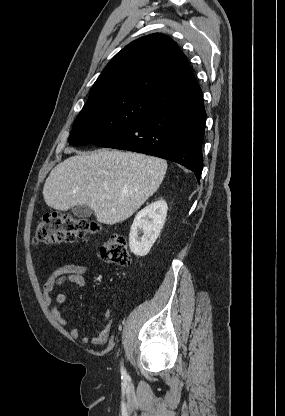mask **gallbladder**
<instances>
[{
  "instance_id": "1",
  "label": "gallbladder",
  "mask_w": 285,
  "mask_h": 416,
  "mask_svg": "<svg viewBox=\"0 0 285 416\" xmlns=\"http://www.w3.org/2000/svg\"><path fill=\"white\" fill-rule=\"evenodd\" d=\"M72 214L77 216V218H90L93 214V210L89 206H77V208H72Z\"/></svg>"
}]
</instances>
